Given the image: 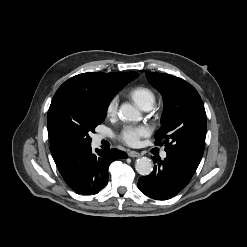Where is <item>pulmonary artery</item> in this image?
<instances>
[{
	"label": "pulmonary artery",
	"mask_w": 247,
	"mask_h": 247,
	"mask_svg": "<svg viewBox=\"0 0 247 247\" xmlns=\"http://www.w3.org/2000/svg\"><path fill=\"white\" fill-rule=\"evenodd\" d=\"M151 108L150 107H146V108H144L143 110H145V111H148V110H150ZM166 156H167V153L166 152H162L161 153V158H166Z\"/></svg>",
	"instance_id": "e3ab8cb5"
}]
</instances>
